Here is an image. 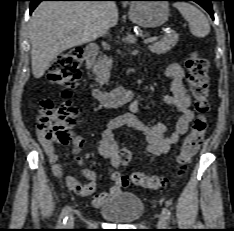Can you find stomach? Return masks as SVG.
Masks as SVG:
<instances>
[{
    "label": "stomach",
    "instance_id": "0dacf381",
    "mask_svg": "<svg viewBox=\"0 0 234 231\" xmlns=\"http://www.w3.org/2000/svg\"><path fill=\"white\" fill-rule=\"evenodd\" d=\"M129 17L133 23L141 27H159L168 20V2L159 0L132 2L130 4Z\"/></svg>",
    "mask_w": 234,
    "mask_h": 231
}]
</instances>
